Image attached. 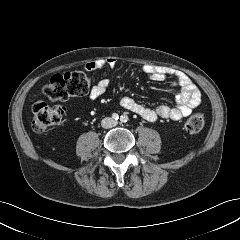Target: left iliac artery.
<instances>
[{"instance_id":"left-iliac-artery-1","label":"left iliac artery","mask_w":240,"mask_h":240,"mask_svg":"<svg viewBox=\"0 0 240 240\" xmlns=\"http://www.w3.org/2000/svg\"><path fill=\"white\" fill-rule=\"evenodd\" d=\"M128 120H129V118L125 114L120 117V121L123 122V123H126Z\"/></svg>"}]
</instances>
